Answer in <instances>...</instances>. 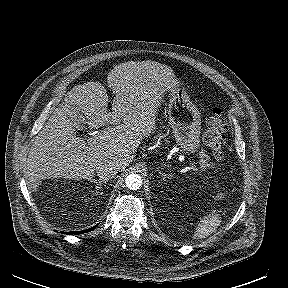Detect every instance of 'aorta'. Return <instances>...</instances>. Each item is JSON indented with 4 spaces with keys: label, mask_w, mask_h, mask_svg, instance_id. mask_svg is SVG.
Segmentation results:
<instances>
[{
    "label": "aorta",
    "mask_w": 288,
    "mask_h": 288,
    "mask_svg": "<svg viewBox=\"0 0 288 288\" xmlns=\"http://www.w3.org/2000/svg\"><path fill=\"white\" fill-rule=\"evenodd\" d=\"M125 184L130 190H137L142 185V177L139 174H129L125 179Z\"/></svg>",
    "instance_id": "762f6f07"
}]
</instances>
